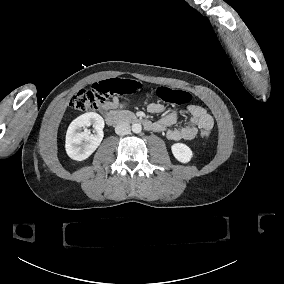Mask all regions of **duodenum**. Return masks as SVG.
<instances>
[{
	"label": "duodenum",
	"mask_w": 284,
	"mask_h": 284,
	"mask_svg": "<svg viewBox=\"0 0 284 284\" xmlns=\"http://www.w3.org/2000/svg\"><path fill=\"white\" fill-rule=\"evenodd\" d=\"M105 121L112 126L122 123L141 124L146 128L150 127V122L131 113H120L117 111H108L104 115Z\"/></svg>",
	"instance_id": "obj_1"
}]
</instances>
